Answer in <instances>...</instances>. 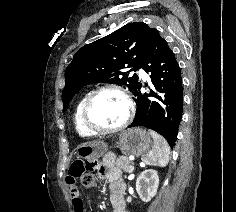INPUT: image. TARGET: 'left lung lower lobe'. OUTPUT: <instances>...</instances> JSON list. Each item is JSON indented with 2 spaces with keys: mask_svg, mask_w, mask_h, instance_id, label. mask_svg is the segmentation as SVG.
I'll use <instances>...</instances> for the list:
<instances>
[{
  "mask_svg": "<svg viewBox=\"0 0 236 212\" xmlns=\"http://www.w3.org/2000/svg\"><path fill=\"white\" fill-rule=\"evenodd\" d=\"M139 68L151 73L152 86L148 87V94L140 92V83L133 91L137 108L130 127H148L160 133L173 147L183 111L182 77L174 52L157 29L151 31Z\"/></svg>",
  "mask_w": 236,
  "mask_h": 212,
  "instance_id": "0a47b994",
  "label": "left lung lower lobe"
}]
</instances>
